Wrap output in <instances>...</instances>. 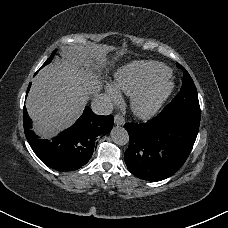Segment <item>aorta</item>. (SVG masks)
Segmentation results:
<instances>
[{
    "mask_svg": "<svg viewBox=\"0 0 228 228\" xmlns=\"http://www.w3.org/2000/svg\"><path fill=\"white\" fill-rule=\"evenodd\" d=\"M111 138L117 145H126L129 142V134L123 127H114L111 131Z\"/></svg>",
    "mask_w": 228,
    "mask_h": 228,
    "instance_id": "1",
    "label": "aorta"
}]
</instances>
